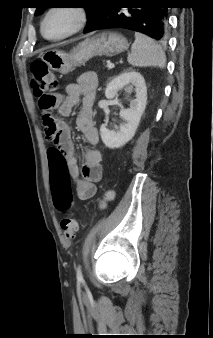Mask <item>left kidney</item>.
Segmentation results:
<instances>
[{
    "label": "left kidney",
    "instance_id": "obj_1",
    "mask_svg": "<svg viewBox=\"0 0 213 338\" xmlns=\"http://www.w3.org/2000/svg\"><path fill=\"white\" fill-rule=\"evenodd\" d=\"M135 87L136 98L130 103L128 109L121 108L120 117L123 123L113 130L103 124L100 127V135L103 143L110 149L120 148L130 141L138 128L142 114L147 104V88L143 76L135 71H124L114 77L107 85L105 96L113 99L117 92L123 88Z\"/></svg>",
    "mask_w": 213,
    "mask_h": 338
}]
</instances>
